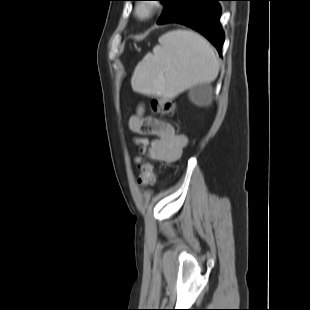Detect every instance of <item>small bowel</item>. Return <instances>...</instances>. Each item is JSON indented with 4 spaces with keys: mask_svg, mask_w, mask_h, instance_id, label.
Returning <instances> with one entry per match:
<instances>
[{
    "mask_svg": "<svg viewBox=\"0 0 310 310\" xmlns=\"http://www.w3.org/2000/svg\"><path fill=\"white\" fill-rule=\"evenodd\" d=\"M129 128L135 133L154 136L153 138L138 136L135 138V143L145 150L148 158L156 162H176L188 143L187 137L176 133L170 123L146 115L143 104L139 105L136 113L130 117ZM141 160V157L135 159L137 163Z\"/></svg>",
    "mask_w": 310,
    "mask_h": 310,
    "instance_id": "obj_1",
    "label": "small bowel"
}]
</instances>
